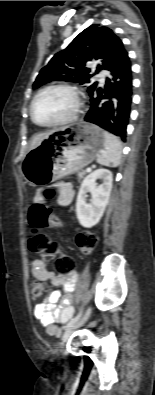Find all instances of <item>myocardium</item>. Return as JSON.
<instances>
[{
	"mask_svg": "<svg viewBox=\"0 0 155 395\" xmlns=\"http://www.w3.org/2000/svg\"><path fill=\"white\" fill-rule=\"evenodd\" d=\"M53 89H63V90L69 91L74 96V99H75L74 107H73L72 111L70 112V114L68 116H66L65 118H63L59 121L53 122V123L41 124V123L37 122L34 117L35 102L39 98L40 95H42L43 93H45L49 90H53ZM82 104L83 103H82L81 92L76 86L68 84V83L50 84V85H47V86L41 88L40 90H38L37 93L32 98V100L30 102V107H29L30 119L35 125L42 127V128H55V127L64 126V125L72 123L73 121H75L77 119V117L80 113V110L82 108Z\"/></svg>",
	"mask_w": 155,
	"mask_h": 395,
	"instance_id": "myocardium-1",
	"label": "myocardium"
}]
</instances>
